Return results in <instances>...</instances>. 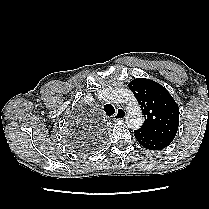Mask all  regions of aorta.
<instances>
[{"label":"aorta","mask_w":209,"mask_h":209,"mask_svg":"<svg viewBox=\"0 0 209 209\" xmlns=\"http://www.w3.org/2000/svg\"><path fill=\"white\" fill-rule=\"evenodd\" d=\"M104 100L111 103L128 105L126 124L133 130L139 129L144 122L143 112L134 97L133 93L127 88H109L104 92Z\"/></svg>","instance_id":"762f6f07"}]
</instances>
